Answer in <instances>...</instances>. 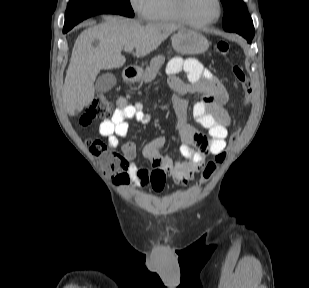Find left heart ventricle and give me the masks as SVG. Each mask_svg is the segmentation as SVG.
I'll use <instances>...</instances> for the list:
<instances>
[{
	"instance_id": "b2bd125f",
	"label": "left heart ventricle",
	"mask_w": 309,
	"mask_h": 288,
	"mask_svg": "<svg viewBox=\"0 0 309 288\" xmlns=\"http://www.w3.org/2000/svg\"><path fill=\"white\" fill-rule=\"evenodd\" d=\"M186 12L195 21H207L217 14L216 0H186Z\"/></svg>"
}]
</instances>
